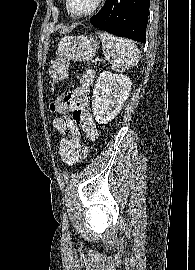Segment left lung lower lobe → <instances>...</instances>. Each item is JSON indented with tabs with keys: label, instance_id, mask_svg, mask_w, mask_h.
I'll return each instance as SVG.
<instances>
[{
	"label": "left lung lower lobe",
	"instance_id": "left-lung-lower-lobe-1",
	"mask_svg": "<svg viewBox=\"0 0 195 270\" xmlns=\"http://www.w3.org/2000/svg\"><path fill=\"white\" fill-rule=\"evenodd\" d=\"M150 0H106L100 12L90 19L99 29L144 43Z\"/></svg>",
	"mask_w": 195,
	"mask_h": 270
}]
</instances>
